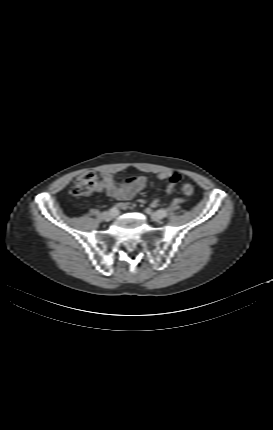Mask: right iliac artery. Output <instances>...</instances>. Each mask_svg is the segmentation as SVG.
<instances>
[{
    "label": "right iliac artery",
    "instance_id": "82829eb1",
    "mask_svg": "<svg viewBox=\"0 0 273 430\" xmlns=\"http://www.w3.org/2000/svg\"><path fill=\"white\" fill-rule=\"evenodd\" d=\"M114 213H118V209H117V207H113L112 209H111Z\"/></svg>",
    "mask_w": 273,
    "mask_h": 430
}]
</instances>
